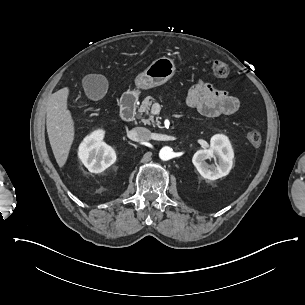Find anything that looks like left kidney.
<instances>
[{"label": "left kidney", "instance_id": "left-kidney-1", "mask_svg": "<svg viewBox=\"0 0 305 305\" xmlns=\"http://www.w3.org/2000/svg\"><path fill=\"white\" fill-rule=\"evenodd\" d=\"M232 158L233 152L228 139L223 135H216L211 139V147L197 151L192 162L203 178L213 181L229 173ZM207 160L211 161L209 165Z\"/></svg>", "mask_w": 305, "mask_h": 305}]
</instances>
